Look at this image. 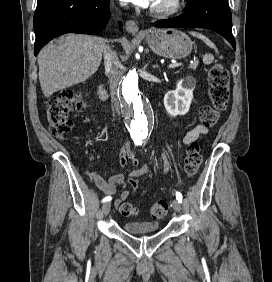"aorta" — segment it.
Returning a JSON list of instances; mask_svg holds the SVG:
<instances>
[{
	"label": "aorta",
	"instance_id": "762f6f07",
	"mask_svg": "<svg viewBox=\"0 0 272 282\" xmlns=\"http://www.w3.org/2000/svg\"><path fill=\"white\" fill-rule=\"evenodd\" d=\"M121 93L123 112L131 137L135 140L147 138L151 132L153 110L142 92L136 71H130L124 77Z\"/></svg>",
	"mask_w": 272,
	"mask_h": 282
}]
</instances>
